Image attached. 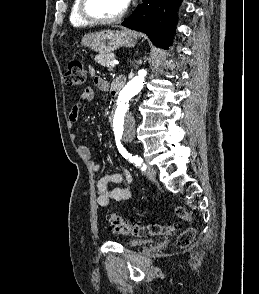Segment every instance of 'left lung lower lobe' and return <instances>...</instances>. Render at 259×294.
<instances>
[{"mask_svg":"<svg viewBox=\"0 0 259 294\" xmlns=\"http://www.w3.org/2000/svg\"><path fill=\"white\" fill-rule=\"evenodd\" d=\"M180 0H143L122 25L144 32L159 47L167 49L174 36Z\"/></svg>","mask_w":259,"mask_h":294,"instance_id":"1","label":"left lung lower lobe"}]
</instances>
